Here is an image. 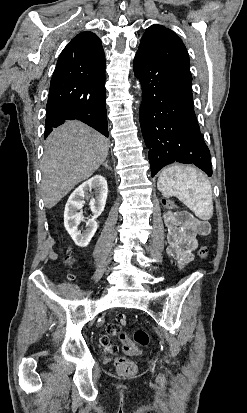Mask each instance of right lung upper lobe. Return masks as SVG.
I'll return each instance as SVG.
<instances>
[{"label":"right lung upper lobe","mask_w":247,"mask_h":413,"mask_svg":"<svg viewBox=\"0 0 247 413\" xmlns=\"http://www.w3.org/2000/svg\"><path fill=\"white\" fill-rule=\"evenodd\" d=\"M105 65L102 43L96 34L86 31L78 34L65 47L57 61L56 71H86Z\"/></svg>","instance_id":"1"}]
</instances>
